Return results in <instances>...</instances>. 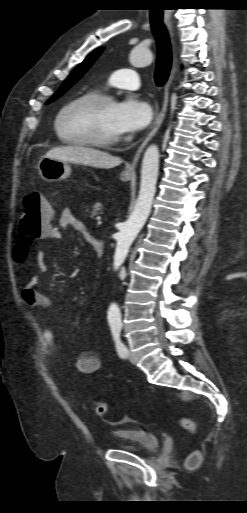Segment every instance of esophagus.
I'll return each mask as SVG.
<instances>
[{
    "instance_id": "esophagus-1",
    "label": "esophagus",
    "mask_w": 247,
    "mask_h": 513,
    "mask_svg": "<svg viewBox=\"0 0 247 513\" xmlns=\"http://www.w3.org/2000/svg\"><path fill=\"white\" fill-rule=\"evenodd\" d=\"M165 24H166L168 30L170 31L171 36L173 37L172 23L169 20H166ZM174 72H175V64H174L173 69L171 71V76H170V78L168 79L167 83L164 86L163 101H162L161 108L159 109L158 105L155 106L154 118H153L152 124L149 127L148 134L146 135L145 139L143 140V142L139 146V148H138V150H137V152H136V154H135L131 164L126 168L125 173L127 175H134L135 174L136 166H137V163H138V161H139V159L141 157L142 152L144 151V149H145L146 145L149 143V141L157 133L158 129L160 128V126H161V124H162V122L164 120L165 113H166L167 106H168V101H169L168 88H169V85L171 83V80H172Z\"/></svg>"
}]
</instances>
